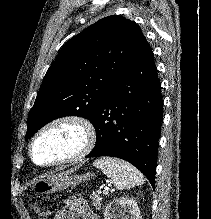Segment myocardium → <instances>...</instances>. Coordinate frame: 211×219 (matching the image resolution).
<instances>
[{"mask_svg": "<svg viewBox=\"0 0 211 219\" xmlns=\"http://www.w3.org/2000/svg\"><path fill=\"white\" fill-rule=\"evenodd\" d=\"M61 124H73L81 130L83 134V141L80 148L68 158L54 161L51 163H38L35 160L33 154V148L35 143L37 142L39 137L48 129ZM96 141H97L96 128L89 119L81 115L65 114V115L57 116L47 121L34 133L28 145V153L31 161L39 167L54 168V167L67 166L77 163L82 159H84L93 150Z\"/></svg>", "mask_w": 211, "mask_h": 219, "instance_id": "myocardium-1", "label": "myocardium"}]
</instances>
